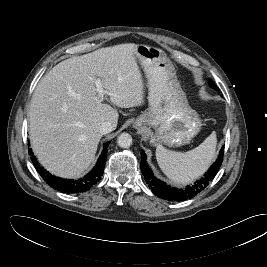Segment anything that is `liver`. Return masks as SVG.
I'll return each instance as SVG.
<instances>
[{
  "label": "liver",
  "mask_w": 267,
  "mask_h": 267,
  "mask_svg": "<svg viewBox=\"0 0 267 267\" xmlns=\"http://www.w3.org/2000/svg\"><path fill=\"white\" fill-rule=\"evenodd\" d=\"M137 45L120 44L66 59L40 80L29 107L30 141L39 162L63 178L81 176L94 161L103 122L117 127L120 108L141 106ZM105 94L99 96L95 80Z\"/></svg>",
  "instance_id": "liver-1"
}]
</instances>
